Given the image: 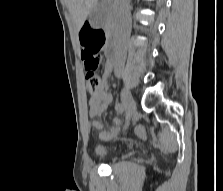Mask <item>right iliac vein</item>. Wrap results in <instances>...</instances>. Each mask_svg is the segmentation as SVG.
<instances>
[{"instance_id":"obj_1","label":"right iliac vein","mask_w":223,"mask_h":191,"mask_svg":"<svg viewBox=\"0 0 223 191\" xmlns=\"http://www.w3.org/2000/svg\"><path fill=\"white\" fill-rule=\"evenodd\" d=\"M121 98L125 105L127 120L129 121L136 107L135 101L125 89L122 90Z\"/></svg>"}]
</instances>
